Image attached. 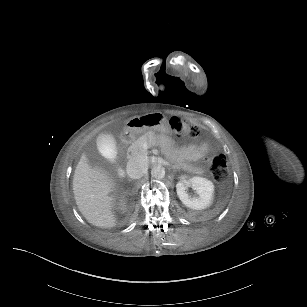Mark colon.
<instances>
[{"label": "colon", "instance_id": "obj_1", "mask_svg": "<svg viewBox=\"0 0 307 307\" xmlns=\"http://www.w3.org/2000/svg\"><path fill=\"white\" fill-rule=\"evenodd\" d=\"M168 124L180 138L191 140L199 135V128L196 125L184 122L179 117L172 116L168 120ZM210 170L214 178L223 181L228 176V161L225 154L220 152L210 153L207 157Z\"/></svg>", "mask_w": 307, "mask_h": 307}]
</instances>
